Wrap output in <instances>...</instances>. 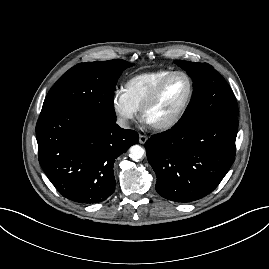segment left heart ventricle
Masks as SVG:
<instances>
[{
    "label": "left heart ventricle",
    "mask_w": 269,
    "mask_h": 269,
    "mask_svg": "<svg viewBox=\"0 0 269 269\" xmlns=\"http://www.w3.org/2000/svg\"><path fill=\"white\" fill-rule=\"evenodd\" d=\"M189 92V83L182 75L172 77L164 86L157 102L146 113L148 123H157L173 116L184 104Z\"/></svg>",
    "instance_id": "b2bd125f"
}]
</instances>
